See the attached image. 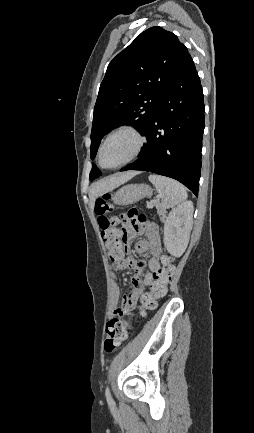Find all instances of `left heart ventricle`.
Instances as JSON below:
<instances>
[{
    "instance_id": "1",
    "label": "left heart ventricle",
    "mask_w": 254,
    "mask_h": 433,
    "mask_svg": "<svg viewBox=\"0 0 254 433\" xmlns=\"http://www.w3.org/2000/svg\"><path fill=\"white\" fill-rule=\"evenodd\" d=\"M137 140L129 133H120L111 137L102 151V164L115 166L126 160L135 150Z\"/></svg>"
}]
</instances>
